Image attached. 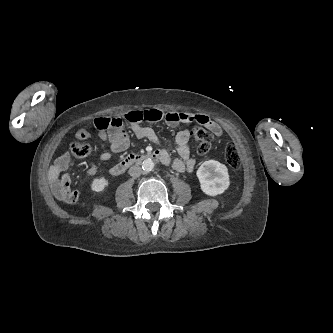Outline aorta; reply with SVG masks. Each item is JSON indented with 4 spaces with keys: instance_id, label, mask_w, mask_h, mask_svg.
Segmentation results:
<instances>
[{
    "instance_id": "762f6f07",
    "label": "aorta",
    "mask_w": 333,
    "mask_h": 333,
    "mask_svg": "<svg viewBox=\"0 0 333 333\" xmlns=\"http://www.w3.org/2000/svg\"><path fill=\"white\" fill-rule=\"evenodd\" d=\"M154 168V162L148 158V159H145L142 163V169L146 172H150L152 171Z\"/></svg>"
}]
</instances>
